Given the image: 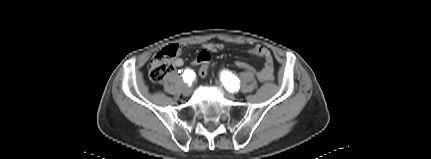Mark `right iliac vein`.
I'll use <instances>...</instances> for the list:
<instances>
[{
  "instance_id": "right-iliac-vein-1",
  "label": "right iliac vein",
  "mask_w": 431,
  "mask_h": 159,
  "mask_svg": "<svg viewBox=\"0 0 431 159\" xmlns=\"http://www.w3.org/2000/svg\"><path fill=\"white\" fill-rule=\"evenodd\" d=\"M191 92H192V89L189 85H185L182 89V94L184 96H189L191 94Z\"/></svg>"
}]
</instances>
